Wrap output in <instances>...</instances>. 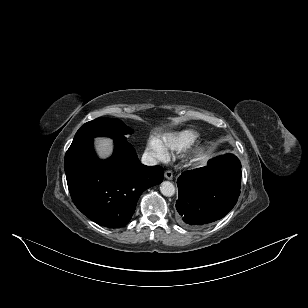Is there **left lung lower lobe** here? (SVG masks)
I'll use <instances>...</instances> for the list:
<instances>
[{"label":"left lung lower lobe","instance_id":"1","mask_svg":"<svg viewBox=\"0 0 308 308\" xmlns=\"http://www.w3.org/2000/svg\"><path fill=\"white\" fill-rule=\"evenodd\" d=\"M179 222L197 228L223 218L236 204L241 163L233 154L217 156L207 166L185 171L177 180Z\"/></svg>","mask_w":308,"mask_h":308}]
</instances>
